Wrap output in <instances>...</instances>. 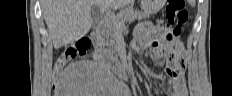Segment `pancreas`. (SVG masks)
I'll list each match as a JSON object with an SVG mask.
<instances>
[{"label":"pancreas","mask_w":232,"mask_h":96,"mask_svg":"<svg viewBox=\"0 0 232 96\" xmlns=\"http://www.w3.org/2000/svg\"><path fill=\"white\" fill-rule=\"evenodd\" d=\"M147 16L146 12L134 11L131 7L120 10L116 15H110L99 32L96 44L100 47H106L109 52L114 53L115 39L124 30L125 22L131 23Z\"/></svg>","instance_id":"1"}]
</instances>
